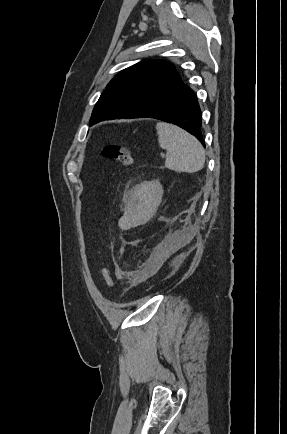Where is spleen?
<instances>
[{"instance_id":"1","label":"spleen","mask_w":287,"mask_h":434,"mask_svg":"<svg viewBox=\"0 0 287 434\" xmlns=\"http://www.w3.org/2000/svg\"><path fill=\"white\" fill-rule=\"evenodd\" d=\"M158 142L167 151L165 167L175 172L195 173L205 163V150L191 134L176 125L159 122Z\"/></svg>"}]
</instances>
